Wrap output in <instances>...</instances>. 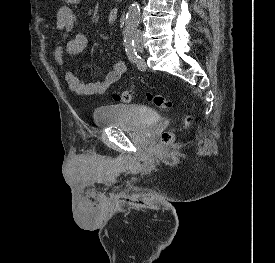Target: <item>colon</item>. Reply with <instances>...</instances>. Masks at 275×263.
<instances>
[{"label":"colon","instance_id":"5ec220e1","mask_svg":"<svg viewBox=\"0 0 275 263\" xmlns=\"http://www.w3.org/2000/svg\"><path fill=\"white\" fill-rule=\"evenodd\" d=\"M113 98L117 102H132L135 98V92L133 89L124 90L121 92H116L113 95ZM148 99L152 101L158 107H168L170 106V101L163 95L160 94H149ZM193 122V116L188 110L184 119V127H189ZM174 135L171 132H165L161 136V144L169 145L173 142Z\"/></svg>","mask_w":275,"mask_h":263}]
</instances>
